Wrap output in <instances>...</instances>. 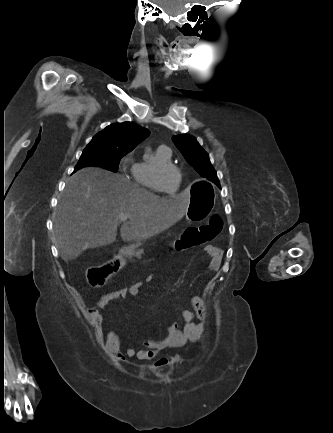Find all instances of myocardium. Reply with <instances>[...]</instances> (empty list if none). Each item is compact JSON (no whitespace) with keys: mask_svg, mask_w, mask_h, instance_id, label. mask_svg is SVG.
<instances>
[{"mask_svg":"<svg viewBox=\"0 0 333 433\" xmlns=\"http://www.w3.org/2000/svg\"><path fill=\"white\" fill-rule=\"evenodd\" d=\"M167 170H174V171H176L177 175L179 176V180H180V168L177 165L173 164V163H165V164L158 165L155 168L154 179H155V182H156L157 186L159 187V189L163 193H165L166 195H169V196H175L178 193V191H179V182H178L177 188H176V190L174 192H168L164 188L163 183H162L163 174Z\"/></svg>","mask_w":333,"mask_h":433,"instance_id":"f54148a6","label":"myocardium"}]
</instances>
